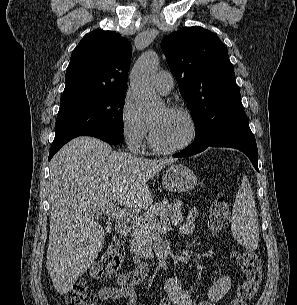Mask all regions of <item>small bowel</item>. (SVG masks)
Here are the masks:
<instances>
[{
  "label": "small bowel",
  "instance_id": "small-bowel-1",
  "mask_svg": "<svg viewBox=\"0 0 297 305\" xmlns=\"http://www.w3.org/2000/svg\"><path fill=\"white\" fill-rule=\"evenodd\" d=\"M197 217L198 211L194 208L190 209L180 226V236L185 237L193 232ZM147 273L146 265H140L132 271L120 273L115 279L117 286H106L98 291V301L104 303L125 300L127 305H138V294L134 286L142 282ZM231 283L230 276H223L206 289L203 300L195 301L184 289L181 277L174 275L166 280V295L160 300L159 305H217L228 295Z\"/></svg>",
  "mask_w": 297,
  "mask_h": 305
}]
</instances>
